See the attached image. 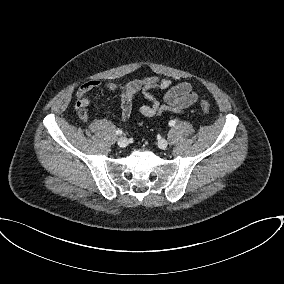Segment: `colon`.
<instances>
[{
    "mask_svg": "<svg viewBox=\"0 0 284 284\" xmlns=\"http://www.w3.org/2000/svg\"><path fill=\"white\" fill-rule=\"evenodd\" d=\"M202 111L207 114L210 111V104L207 100L202 99L200 102Z\"/></svg>",
    "mask_w": 284,
    "mask_h": 284,
    "instance_id": "1",
    "label": "colon"
}]
</instances>
